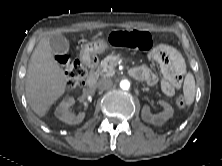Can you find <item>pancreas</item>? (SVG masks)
Segmentation results:
<instances>
[{"mask_svg":"<svg viewBox=\"0 0 222 166\" xmlns=\"http://www.w3.org/2000/svg\"><path fill=\"white\" fill-rule=\"evenodd\" d=\"M117 59L118 57L115 55H108L101 61L98 73L104 77L113 76L115 73V66L117 65Z\"/></svg>","mask_w":222,"mask_h":166,"instance_id":"pancreas-1","label":"pancreas"}]
</instances>
